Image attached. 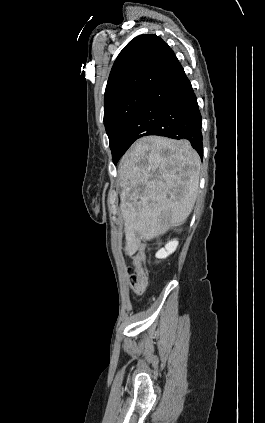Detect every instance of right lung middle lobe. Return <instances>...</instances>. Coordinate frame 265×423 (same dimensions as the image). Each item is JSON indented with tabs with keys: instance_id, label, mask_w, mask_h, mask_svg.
<instances>
[{
	"instance_id": "obj_1",
	"label": "right lung middle lobe",
	"mask_w": 265,
	"mask_h": 423,
	"mask_svg": "<svg viewBox=\"0 0 265 423\" xmlns=\"http://www.w3.org/2000/svg\"><path fill=\"white\" fill-rule=\"evenodd\" d=\"M149 91L132 92L110 104L104 109V125L109 137V145L114 164L123 155L119 149V140L123 129L140 107Z\"/></svg>"
}]
</instances>
